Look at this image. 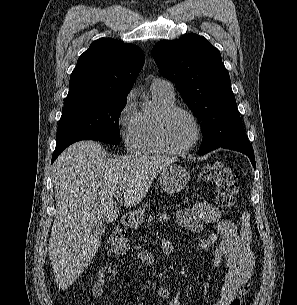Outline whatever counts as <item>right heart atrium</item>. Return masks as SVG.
I'll use <instances>...</instances> for the list:
<instances>
[{
    "mask_svg": "<svg viewBox=\"0 0 297 305\" xmlns=\"http://www.w3.org/2000/svg\"><path fill=\"white\" fill-rule=\"evenodd\" d=\"M134 97L133 92L128 93L117 114L119 136L127 149H132L138 126V113L135 110Z\"/></svg>",
    "mask_w": 297,
    "mask_h": 305,
    "instance_id": "1",
    "label": "right heart atrium"
}]
</instances>
